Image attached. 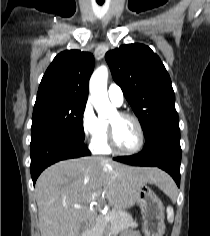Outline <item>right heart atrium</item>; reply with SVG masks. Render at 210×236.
I'll use <instances>...</instances> for the list:
<instances>
[{"instance_id": "1", "label": "right heart atrium", "mask_w": 210, "mask_h": 236, "mask_svg": "<svg viewBox=\"0 0 210 236\" xmlns=\"http://www.w3.org/2000/svg\"><path fill=\"white\" fill-rule=\"evenodd\" d=\"M81 130L84 138L90 143L98 139L104 131V123L97 116L91 100H87L82 110Z\"/></svg>"}]
</instances>
